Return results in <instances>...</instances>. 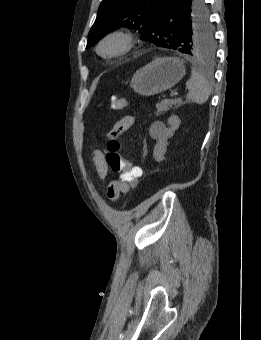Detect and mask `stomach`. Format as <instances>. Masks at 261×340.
Wrapping results in <instances>:
<instances>
[{
    "label": "stomach",
    "instance_id": "0dacf381",
    "mask_svg": "<svg viewBox=\"0 0 261 340\" xmlns=\"http://www.w3.org/2000/svg\"><path fill=\"white\" fill-rule=\"evenodd\" d=\"M184 75L185 67L181 60L157 58L136 71L130 87L139 95L152 96L172 88Z\"/></svg>",
    "mask_w": 261,
    "mask_h": 340
}]
</instances>
